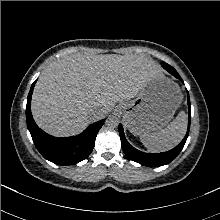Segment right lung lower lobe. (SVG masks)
Returning a JSON list of instances; mask_svg holds the SVG:
<instances>
[{"label": "right lung lower lobe", "mask_w": 220, "mask_h": 220, "mask_svg": "<svg viewBox=\"0 0 220 220\" xmlns=\"http://www.w3.org/2000/svg\"><path fill=\"white\" fill-rule=\"evenodd\" d=\"M35 83L36 81L28 94L26 119L28 130L38 151L45 159L59 165H74L86 159L94 148L96 135L104 120L91 124L77 136L57 138L48 135L36 125L31 114V96Z\"/></svg>", "instance_id": "1"}]
</instances>
